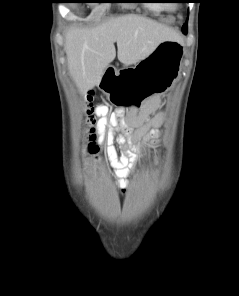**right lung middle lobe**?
I'll use <instances>...</instances> for the list:
<instances>
[{"label":"right lung middle lobe","instance_id":"1","mask_svg":"<svg viewBox=\"0 0 239 296\" xmlns=\"http://www.w3.org/2000/svg\"><path fill=\"white\" fill-rule=\"evenodd\" d=\"M74 2H99V3H105V2H110L109 0H77Z\"/></svg>","mask_w":239,"mask_h":296}]
</instances>
